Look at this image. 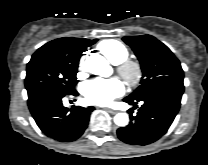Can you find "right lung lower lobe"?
<instances>
[{"mask_svg": "<svg viewBox=\"0 0 208 165\" xmlns=\"http://www.w3.org/2000/svg\"><path fill=\"white\" fill-rule=\"evenodd\" d=\"M68 95L77 96L78 92L43 91L28 98L30 112L41 131L60 142L78 139L87 128L90 114L94 110L92 106L71 109L64 107L62 99Z\"/></svg>", "mask_w": 208, "mask_h": 165, "instance_id": "right-lung-lower-lobe-1", "label": "right lung lower lobe"}]
</instances>
